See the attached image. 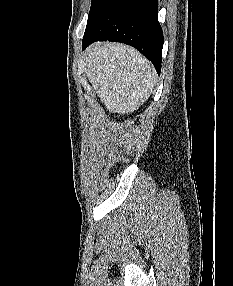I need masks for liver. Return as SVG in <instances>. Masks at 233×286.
<instances>
[{
    "instance_id": "6515ba94",
    "label": "liver",
    "mask_w": 233,
    "mask_h": 286,
    "mask_svg": "<svg viewBox=\"0 0 233 286\" xmlns=\"http://www.w3.org/2000/svg\"><path fill=\"white\" fill-rule=\"evenodd\" d=\"M86 74L109 112L137 110L153 91L157 74L137 50L123 44L95 43L87 49Z\"/></svg>"
}]
</instances>
